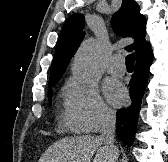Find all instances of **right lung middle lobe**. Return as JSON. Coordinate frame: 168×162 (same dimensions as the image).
Wrapping results in <instances>:
<instances>
[{
    "label": "right lung middle lobe",
    "instance_id": "right-lung-middle-lobe-1",
    "mask_svg": "<svg viewBox=\"0 0 168 162\" xmlns=\"http://www.w3.org/2000/svg\"><path fill=\"white\" fill-rule=\"evenodd\" d=\"M56 82L50 83L49 84V91H48V101L51 105V100H52V87L55 85Z\"/></svg>",
    "mask_w": 168,
    "mask_h": 162
}]
</instances>
